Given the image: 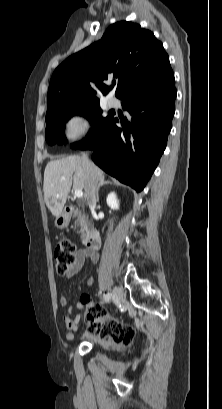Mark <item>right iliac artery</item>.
Wrapping results in <instances>:
<instances>
[{"label":"right iliac artery","mask_w":222,"mask_h":409,"mask_svg":"<svg viewBox=\"0 0 222 409\" xmlns=\"http://www.w3.org/2000/svg\"><path fill=\"white\" fill-rule=\"evenodd\" d=\"M103 298H104L105 302H109L110 299L112 298V294L111 293H106V294H104Z\"/></svg>","instance_id":"obj_1"}]
</instances>
